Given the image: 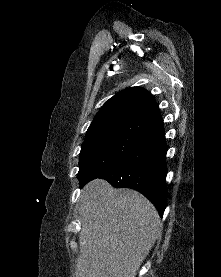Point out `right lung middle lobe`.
Listing matches in <instances>:
<instances>
[{
	"instance_id": "1",
	"label": "right lung middle lobe",
	"mask_w": 221,
	"mask_h": 277,
	"mask_svg": "<svg viewBox=\"0 0 221 277\" xmlns=\"http://www.w3.org/2000/svg\"><path fill=\"white\" fill-rule=\"evenodd\" d=\"M144 136L145 131L138 123L89 129L80 152V182L97 177L119 164Z\"/></svg>"
}]
</instances>
